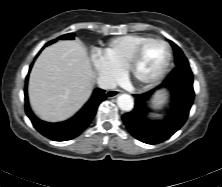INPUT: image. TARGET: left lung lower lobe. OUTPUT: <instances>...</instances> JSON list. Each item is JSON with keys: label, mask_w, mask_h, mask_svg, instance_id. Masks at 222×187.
<instances>
[{"label": "left lung lower lobe", "mask_w": 222, "mask_h": 187, "mask_svg": "<svg viewBox=\"0 0 222 187\" xmlns=\"http://www.w3.org/2000/svg\"><path fill=\"white\" fill-rule=\"evenodd\" d=\"M158 89H167L172 96L171 108L161 120L147 117V103ZM134 108L122 119L128 131L139 141L158 144L169 139L186 122L194 100L193 74L188 64L178 65L156 89L135 94Z\"/></svg>", "instance_id": "obj_1"}]
</instances>
